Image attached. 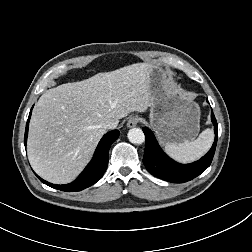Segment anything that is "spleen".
Instances as JSON below:
<instances>
[{
  "label": "spleen",
  "mask_w": 252,
  "mask_h": 252,
  "mask_svg": "<svg viewBox=\"0 0 252 252\" xmlns=\"http://www.w3.org/2000/svg\"><path fill=\"white\" fill-rule=\"evenodd\" d=\"M214 135L211 129L204 130L194 141L167 143L166 152L181 162H191L202 157L211 147Z\"/></svg>",
  "instance_id": "3e777b00"
}]
</instances>
